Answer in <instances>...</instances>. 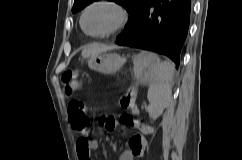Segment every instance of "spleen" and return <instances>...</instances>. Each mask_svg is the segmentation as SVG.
<instances>
[{
	"instance_id": "3e777b00",
	"label": "spleen",
	"mask_w": 242,
	"mask_h": 160,
	"mask_svg": "<svg viewBox=\"0 0 242 160\" xmlns=\"http://www.w3.org/2000/svg\"><path fill=\"white\" fill-rule=\"evenodd\" d=\"M151 59L152 78L148 90L149 111L154 112L166 107L171 100V81L174 75V65L167 61H161L153 53H149Z\"/></svg>"
}]
</instances>
